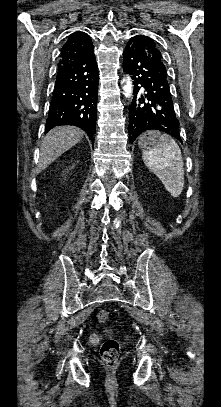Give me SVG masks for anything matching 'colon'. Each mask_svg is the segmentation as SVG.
<instances>
[{
  "mask_svg": "<svg viewBox=\"0 0 221 407\" xmlns=\"http://www.w3.org/2000/svg\"><path fill=\"white\" fill-rule=\"evenodd\" d=\"M110 318L109 312L105 310L99 311L97 319L100 323H106ZM120 354V342L116 338L106 339L100 348V356L109 369H113L118 361Z\"/></svg>",
  "mask_w": 221,
  "mask_h": 407,
  "instance_id": "colon-1",
  "label": "colon"
}]
</instances>
